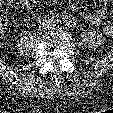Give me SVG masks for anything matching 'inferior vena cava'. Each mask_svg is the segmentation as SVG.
<instances>
[{
	"mask_svg": "<svg viewBox=\"0 0 113 113\" xmlns=\"http://www.w3.org/2000/svg\"><path fill=\"white\" fill-rule=\"evenodd\" d=\"M43 25L48 30H55L61 25V19L55 16H49L44 20Z\"/></svg>",
	"mask_w": 113,
	"mask_h": 113,
	"instance_id": "obj_1",
	"label": "inferior vena cava"
}]
</instances>
